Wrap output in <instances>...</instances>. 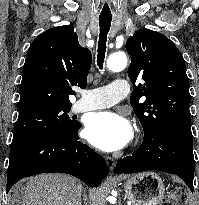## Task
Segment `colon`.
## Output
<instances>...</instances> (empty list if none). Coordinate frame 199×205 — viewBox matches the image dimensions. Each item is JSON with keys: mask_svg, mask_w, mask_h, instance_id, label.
<instances>
[{"mask_svg": "<svg viewBox=\"0 0 199 205\" xmlns=\"http://www.w3.org/2000/svg\"><path fill=\"white\" fill-rule=\"evenodd\" d=\"M185 200V190L177 188L171 195L164 197L160 205H181Z\"/></svg>", "mask_w": 199, "mask_h": 205, "instance_id": "obj_1", "label": "colon"}]
</instances>
